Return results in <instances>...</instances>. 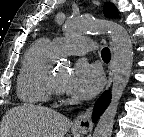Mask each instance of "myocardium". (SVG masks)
Segmentation results:
<instances>
[{"instance_id": "f54148a6", "label": "myocardium", "mask_w": 144, "mask_h": 137, "mask_svg": "<svg viewBox=\"0 0 144 137\" xmlns=\"http://www.w3.org/2000/svg\"><path fill=\"white\" fill-rule=\"evenodd\" d=\"M49 89L52 95L61 97L64 94V87L58 82L55 77V74L51 72L48 81Z\"/></svg>"}]
</instances>
